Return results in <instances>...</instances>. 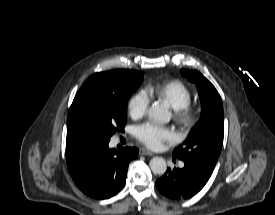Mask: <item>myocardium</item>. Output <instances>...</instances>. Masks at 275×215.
<instances>
[{
	"label": "myocardium",
	"instance_id": "myocardium-1",
	"mask_svg": "<svg viewBox=\"0 0 275 215\" xmlns=\"http://www.w3.org/2000/svg\"><path fill=\"white\" fill-rule=\"evenodd\" d=\"M196 117V112L193 108L186 106L175 110V118L184 126H190Z\"/></svg>",
	"mask_w": 275,
	"mask_h": 215
}]
</instances>
